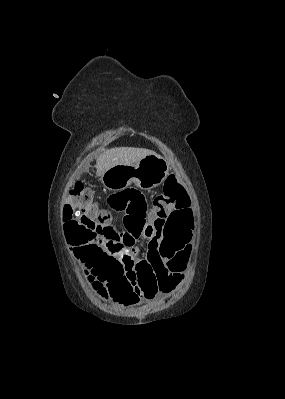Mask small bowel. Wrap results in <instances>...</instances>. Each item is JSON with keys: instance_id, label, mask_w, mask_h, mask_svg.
<instances>
[{"instance_id": "small-bowel-1", "label": "small bowel", "mask_w": 285, "mask_h": 399, "mask_svg": "<svg viewBox=\"0 0 285 399\" xmlns=\"http://www.w3.org/2000/svg\"><path fill=\"white\" fill-rule=\"evenodd\" d=\"M149 220L150 223L145 226L143 235L145 239L149 240L151 249H153L157 248L159 243L163 240V237L159 235L157 231V224L163 222L164 220L160 217L157 209H151L149 211ZM193 226H194V219L191 218L186 223L175 226L172 229L173 234H185L188 238V241L186 242L183 248V257L186 262L189 261L192 255L193 245L191 243V239H192ZM102 268L106 272H114L115 274H117V280L119 282H124V281L129 282L131 280V277L134 275V271L132 268L128 267L127 265H124L123 270L119 271L117 263L109 259L104 261ZM183 281H184V275L182 273H174L173 275H169L166 279H164L162 282L159 283V291L163 295H171L183 283ZM94 294L102 300L112 301L122 306H130L136 304L133 303L130 305H125L123 302L117 300L116 297L111 295L108 289L106 288L98 289L94 291ZM154 296L148 298L145 295H142V298L139 301L150 300Z\"/></svg>"}]
</instances>
